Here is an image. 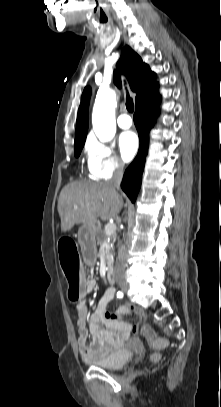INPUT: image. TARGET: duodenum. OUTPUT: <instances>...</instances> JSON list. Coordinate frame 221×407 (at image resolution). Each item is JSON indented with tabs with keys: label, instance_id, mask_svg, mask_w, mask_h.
I'll list each match as a JSON object with an SVG mask.
<instances>
[{
	"label": "duodenum",
	"instance_id": "1",
	"mask_svg": "<svg viewBox=\"0 0 221 407\" xmlns=\"http://www.w3.org/2000/svg\"><path fill=\"white\" fill-rule=\"evenodd\" d=\"M107 279L110 283H113L115 281V276H114V271L111 266L107 268Z\"/></svg>",
	"mask_w": 221,
	"mask_h": 407
}]
</instances>
